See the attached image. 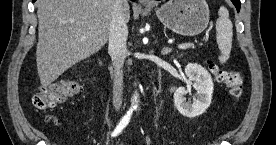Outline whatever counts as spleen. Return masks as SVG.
<instances>
[{"mask_svg":"<svg viewBox=\"0 0 276 145\" xmlns=\"http://www.w3.org/2000/svg\"><path fill=\"white\" fill-rule=\"evenodd\" d=\"M219 18L216 22V40L221 55L220 63H225L229 57L232 48L233 25L229 19V12L221 6L218 11Z\"/></svg>","mask_w":276,"mask_h":145,"instance_id":"obj_1","label":"spleen"}]
</instances>
